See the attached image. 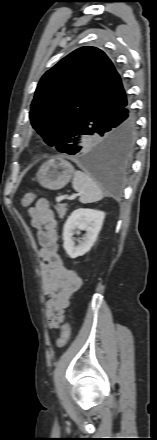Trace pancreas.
Listing matches in <instances>:
<instances>
[{
    "label": "pancreas",
    "instance_id": "pancreas-1",
    "mask_svg": "<svg viewBox=\"0 0 157 440\" xmlns=\"http://www.w3.org/2000/svg\"><path fill=\"white\" fill-rule=\"evenodd\" d=\"M55 209H56V211H57V213L59 215V218L63 219L65 214H66V211H67L66 204H58L55 207Z\"/></svg>",
    "mask_w": 157,
    "mask_h": 440
}]
</instances>
